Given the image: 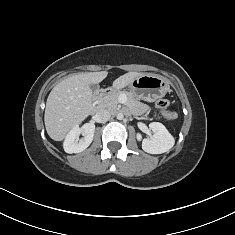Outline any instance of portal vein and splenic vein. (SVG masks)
<instances>
[{"mask_svg": "<svg viewBox=\"0 0 235 235\" xmlns=\"http://www.w3.org/2000/svg\"><path fill=\"white\" fill-rule=\"evenodd\" d=\"M125 101H126V99H125V98H123V99H122V102H125Z\"/></svg>", "mask_w": 235, "mask_h": 235, "instance_id": "obj_1", "label": "portal vein and splenic vein"}]
</instances>
